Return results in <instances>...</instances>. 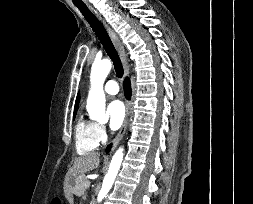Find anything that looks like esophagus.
Listing matches in <instances>:
<instances>
[{
    "label": "esophagus",
    "instance_id": "obj_1",
    "mask_svg": "<svg viewBox=\"0 0 253 204\" xmlns=\"http://www.w3.org/2000/svg\"><path fill=\"white\" fill-rule=\"evenodd\" d=\"M91 9H93V8H91ZM95 13L99 16V18L102 20L105 28L107 29V31L109 33V36H110V38H111V40H112L115 48L117 49V51H118V53L120 55V58H121V61L123 63V67H124L125 76H128L129 75V65H128L127 55H126L125 49L123 47V44L116 37V35H115L114 31L112 30V28L98 14V12L95 11ZM129 115H130V104H129L128 101H126V115H125V119H124V122H123V125H122L120 131L118 132L117 136L115 137V139L113 141V146H116L121 141V139L123 138V136H124V134L126 132L127 126H128Z\"/></svg>",
    "mask_w": 253,
    "mask_h": 204
}]
</instances>
